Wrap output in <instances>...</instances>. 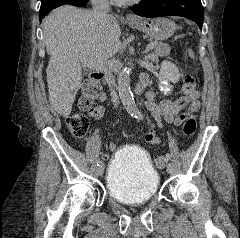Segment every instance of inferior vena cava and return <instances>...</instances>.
Segmentation results:
<instances>
[{"instance_id":"602c4592","label":"inferior vena cava","mask_w":240,"mask_h":238,"mask_svg":"<svg viewBox=\"0 0 240 238\" xmlns=\"http://www.w3.org/2000/svg\"><path fill=\"white\" fill-rule=\"evenodd\" d=\"M93 10L90 12L91 15L100 20L105 21L111 17L108 12L111 10L108 0H91ZM111 100L115 107L119 104L118 94L115 90L111 91Z\"/></svg>"}]
</instances>
